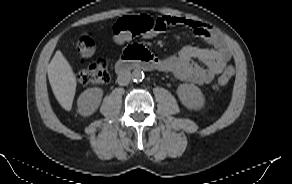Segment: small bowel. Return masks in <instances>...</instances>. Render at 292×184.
Listing matches in <instances>:
<instances>
[{
	"label": "small bowel",
	"instance_id": "1",
	"mask_svg": "<svg viewBox=\"0 0 292 184\" xmlns=\"http://www.w3.org/2000/svg\"><path fill=\"white\" fill-rule=\"evenodd\" d=\"M155 20L161 33L175 26H185L191 29L196 37L205 40L211 46L200 48L187 45L177 54L163 59V69L178 79L195 84H207L220 74L229 62L230 50L221 34L213 27L200 21L174 15L161 16Z\"/></svg>",
	"mask_w": 292,
	"mask_h": 184
}]
</instances>
